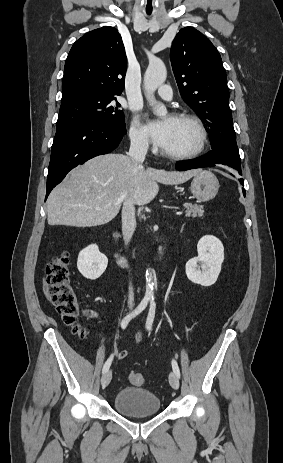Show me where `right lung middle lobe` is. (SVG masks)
Here are the masks:
<instances>
[{"label":"right lung middle lobe","mask_w":283,"mask_h":463,"mask_svg":"<svg viewBox=\"0 0 283 463\" xmlns=\"http://www.w3.org/2000/svg\"><path fill=\"white\" fill-rule=\"evenodd\" d=\"M115 100V96L88 95L61 105L57 130L85 122L126 128L124 113L118 109L121 105H115Z\"/></svg>","instance_id":"right-lung-middle-lobe-1"}]
</instances>
